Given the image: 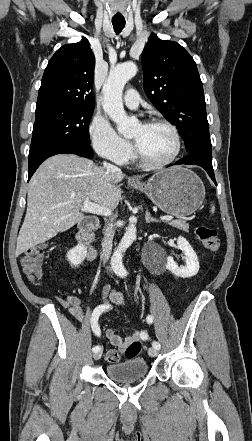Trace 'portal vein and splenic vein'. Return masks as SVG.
<instances>
[{"instance_id":"obj_1","label":"portal vein and splenic vein","mask_w":252,"mask_h":441,"mask_svg":"<svg viewBox=\"0 0 252 441\" xmlns=\"http://www.w3.org/2000/svg\"><path fill=\"white\" fill-rule=\"evenodd\" d=\"M81 211L89 212L97 215L110 216L111 210L105 208L103 206L97 205L95 203L90 202L89 199H85L83 205L81 206ZM173 219L172 216H162L161 220L163 221H171Z\"/></svg>"}]
</instances>
